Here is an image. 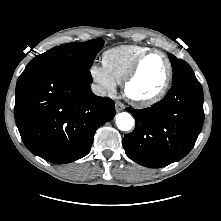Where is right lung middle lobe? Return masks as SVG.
Instances as JSON below:
<instances>
[{"instance_id": "1", "label": "right lung middle lobe", "mask_w": 221, "mask_h": 221, "mask_svg": "<svg viewBox=\"0 0 221 221\" xmlns=\"http://www.w3.org/2000/svg\"><path fill=\"white\" fill-rule=\"evenodd\" d=\"M103 45L104 41L101 39L62 44L34 57L29 64L57 63L89 69Z\"/></svg>"}]
</instances>
